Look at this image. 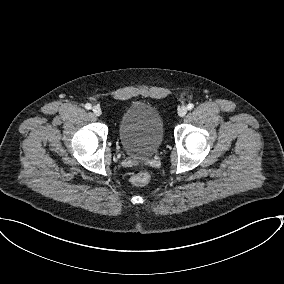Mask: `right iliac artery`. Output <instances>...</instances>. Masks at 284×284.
Instances as JSON below:
<instances>
[{"mask_svg": "<svg viewBox=\"0 0 284 284\" xmlns=\"http://www.w3.org/2000/svg\"><path fill=\"white\" fill-rule=\"evenodd\" d=\"M85 108H86L87 110H89V109L92 108V105H91L90 103H87V104H85Z\"/></svg>", "mask_w": 284, "mask_h": 284, "instance_id": "82829eb1", "label": "right iliac artery"}]
</instances>
